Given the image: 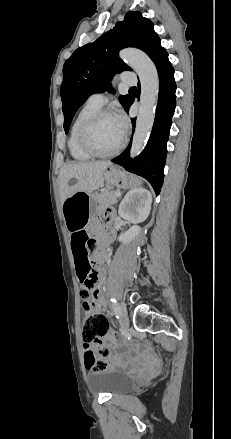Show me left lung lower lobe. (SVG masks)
<instances>
[{"mask_svg": "<svg viewBox=\"0 0 231 439\" xmlns=\"http://www.w3.org/2000/svg\"><path fill=\"white\" fill-rule=\"evenodd\" d=\"M159 74V98L156 108L155 121L149 141L142 153L134 158H129L131 145L118 157L111 160L119 164L127 171L135 173L147 179L155 190L156 195L160 193L164 177V165L167 155L166 144L169 137L172 116L176 107V84L174 80V69L168 60V53L163 49L153 60ZM134 102L131 97L125 110L128 113ZM132 118V125L135 124Z\"/></svg>", "mask_w": 231, "mask_h": 439, "instance_id": "obj_1", "label": "left lung lower lobe"}]
</instances>
